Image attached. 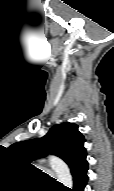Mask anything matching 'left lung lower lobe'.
<instances>
[{
  "label": "left lung lower lobe",
  "mask_w": 114,
  "mask_h": 191,
  "mask_svg": "<svg viewBox=\"0 0 114 191\" xmlns=\"http://www.w3.org/2000/svg\"><path fill=\"white\" fill-rule=\"evenodd\" d=\"M87 171L88 163L85 161L72 173L74 185L69 191H84L88 178Z\"/></svg>",
  "instance_id": "left-lung-lower-lobe-1"
}]
</instances>
